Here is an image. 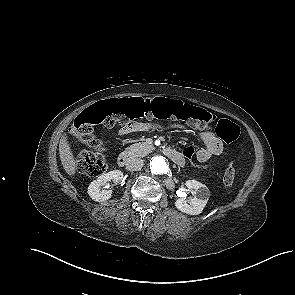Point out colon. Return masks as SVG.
Instances as JSON below:
<instances>
[{
	"mask_svg": "<svg viewBox=\"0 0 295 295\" xmlns=\"http://www.w3.org/2000/svg\"><path fill=\"white\" fill-rule=\"evenodd\" d=\"M141 117L183 121L199 129L208 128L214 120L213 115L206 110L177 100L137 98L98 103L80 113L73 124V133L91 148L77 154L76 164L79 171L86 176L97 177L107 169L103 146L93 134L95 125L103 124L106 127L117 124L126 125ZM215 131L226 142H232L240 135L239 127L228 119H220ZM181 155L186 162L198 170L210 167L208 162L195 161L196 150L192 146L183 147ZM234 179L235 169L230 165L224 172L223 183L225 186H230Z\"/></svg>",
	"mask_w": 295,
	"mask_h": 295,
	"instance_id": "5ec220e1",
	"label": "colon"
}]
</instances>
